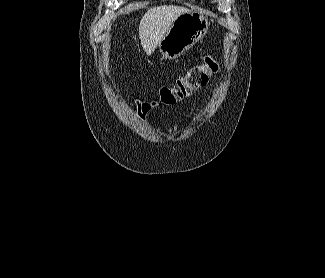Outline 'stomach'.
<instances>
[{
	"instance_id": "stomach-1",
	"label": "stomach",
	"mask_w": 325,
	"mask_h": 278,
	"mask_svg": "<svg viewBox=\"0 0 325 278\" xmlns=\"http://www.w3.org/2000/svg\"><path fill=\"white\" fill-rule=\"evenodd\" d=\"M208 27V20L199 13L190 11L180 15L158 44L161 54L166 59L180 57L203 39Z\"/></svg>"
}]
</instances>
